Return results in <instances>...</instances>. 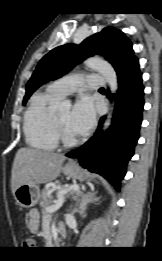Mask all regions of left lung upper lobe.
Masks as SVG:
<instances>
[{"label": "left lung upper lobe", "mask_w": 162, "mask_h": 261, "mask_svg": "<svg viewBox=\"0 0 162 261\" xmlns=\"http://www.w3.org/2000/svg\"><path fill=\"white\" fill-rule=\"evenodd\" d=\"M95 54L102 55L108 60L117 75L126 66L138 60L134 55L132 43L125 34L116 28L106 27L100 33L86 38L80 45L68 43L46 54L26 85L23 104L42 84L60 78L84 58Z\"/></svg>", "instance_id": "5c2ea615"}]
</instances>
